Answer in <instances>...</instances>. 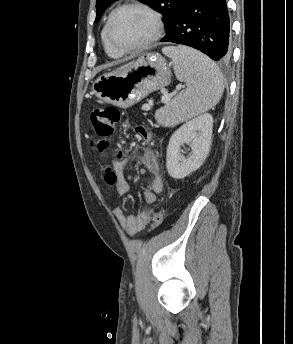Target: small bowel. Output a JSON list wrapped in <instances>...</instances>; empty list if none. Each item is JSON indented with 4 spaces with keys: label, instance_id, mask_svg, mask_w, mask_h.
<instances>
[{
    "label": "small bowel",
    "instance_id": "c3829d8e",
    "mask_svg": "<svg viewBox=\"0 0 293 344\" xmlns=\"http://www.w3.org/2000/svg\"><path fill=\"white\" fill-rule=\"evenodd\" d=\"M136 161L142 165L152 176L150 188L143 191V198L146 203L156 202L157 194L163 189V181L160 175V167L156 155L150 149L138 150L135 154ZM126 164L115 163L112 167H106L105 179L109 184H114L119 195H126L130 190V183L125 175ZM114 216L121 227L130 235L142 231L150 220L148 211L139 212L136 215L127 214L122 207L114 210Z\"/></svg>",
    "mask_w": 293,
    "mask_h": 344
}]
</instances>
